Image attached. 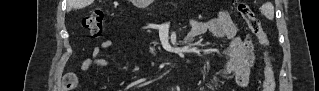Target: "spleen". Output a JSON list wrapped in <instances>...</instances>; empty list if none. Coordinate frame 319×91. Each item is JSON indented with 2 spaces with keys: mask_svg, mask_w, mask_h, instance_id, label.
<instances>
[{
  "mask_svg": "<svg viewBox=\"0 0 319 91\" xmlns=\"http://www.w3.org/2000/svg\"><path fill=\"white\" fill-rule=\"evenodd\" d=\"M261 13L269 20L274 18V7L271 2H266L261 7Z\"/></svg>",
  "mask_w": 319,
  "mask_h": 91,
  "instance_id": "3e777b00",
  "label": "spleen"
}]
</instances>
